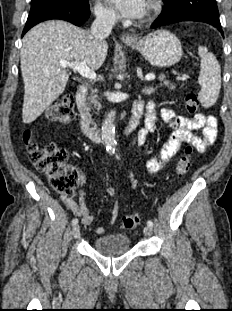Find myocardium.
Wrapping results in <instances>:
<instances>
[{
  "label": "myocardium",
  "mask_w": 232,
  "mask_h": 311,
  "mask_svg": "<svg viewBox=\"0 0 232 311\" xmlns=\"http://www.w3.org/2000/svg\"><path fill=\"white\" fill-rule=\"evenodd\" d=\"M147 10H146V13H145V16L142 20V22H148L150 20H152L155 15L157 14V12L159 11L160 9V4L158 2V0H150L148 2V5H147Z\"/></svg>",
  "instance_id": "1"
}]
</instances>
